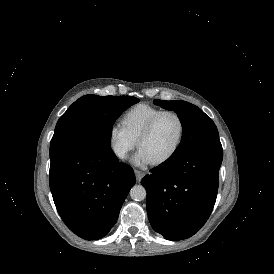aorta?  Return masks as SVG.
Returning <instances> with one entry per match:
<instances>
[{"label":"aorta","instance_id":"aorta-1","mask_svg":"<svg viewBox=\"0 0 274 274\" xmlns=\"http://www.w3.org/2000/svg\"><path fill=\"white\" fill-rule=\"evenodd\" d=\"M130 197L135 201H142L146 198V189L142 185H135L130 190Z\"/></svg>","mask_w":274,"mask_h":274}]
</instances>
